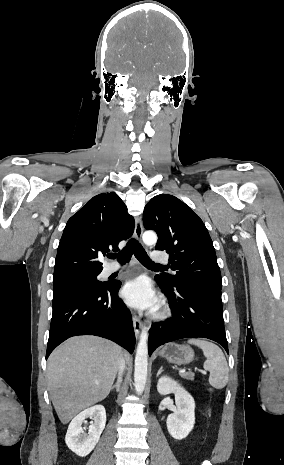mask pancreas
<instances>
[{"mask_svg":"<svg viewBox=\"0 0 284 465\" xmlns=\"http://www.w3.org/2000/svg\"><path fill=\"white\" fill-rule=\"evenodd\" d=\"M180 375L183 379H189V381H193L194 379V373H180Z\"/></svg>","mask_w":284,"mask_h":465,"instance_id":"obj_1","label":"pancreas"}]
</instances>
